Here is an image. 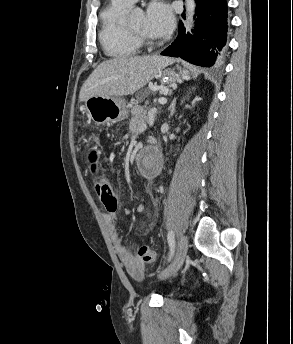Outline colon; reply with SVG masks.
<instances>
[{"mask_svg":"<svg viewBox=\"0 0 293 344\" xmlns=\"http://www.w3.org/2000/svg\"><path fill=\"white\" fill-rule=\"evenodd\" d=\"M95 190L100 201L108 211H114L118 207V196L111 182L106 178L96 181ZM138 258L146 265H153L156 260L155 252L148 246H142L137 251Z\"/></svg>","mask_w":293,"mask_h":344,"instance_id":"1","label":"colon"}]
</instances>
